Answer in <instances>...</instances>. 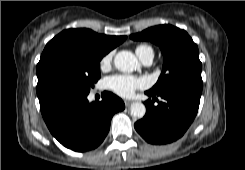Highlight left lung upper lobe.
<instances>
[{"label": "left lung upper lobe", "mask_w": 245, "mask_h": 170, "mask_svg": "<svg viewBox=\"0 0 245 170\" xmlns=\"http://www.w3.org/2000/svg\"><path fill=\"white\" fill-rule=\"evenodd\" d=\"M130 38L151 41L157 44L163 53L162 73L157 83L147 92L159 94L175 87L202 91V64L198 47L186 31L171 25H159L132 34Z\"/></svg>", "instance_id": "1"}]
</instances>
